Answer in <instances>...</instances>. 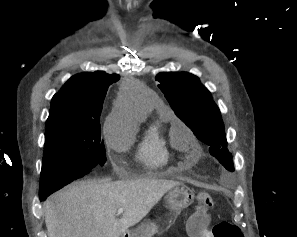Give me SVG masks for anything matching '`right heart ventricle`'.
Returning <instances> with one entry per match:
<instances>
[{
    "label": "right heart ventricle",
    "instance_id": "right-heart-ventricle-1",
    "mask_svg": "<svg viewBox=\"0 0 297 237\" xmlns=\"http://www.w3.org/2000/svg\"><path fill=\"white\" fill-rule=\"evenodd\" d=\"M161 129L159 123L151 124L137 147L138 161L150 169L166 165L172 156L169 143Z\"/></svg>",
    "mask_w": 297,
    "mask_h": 237
}]
</instances>
